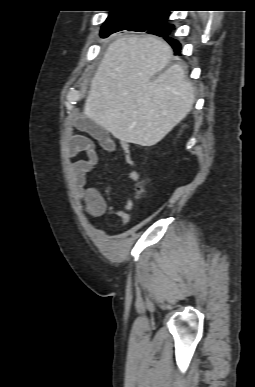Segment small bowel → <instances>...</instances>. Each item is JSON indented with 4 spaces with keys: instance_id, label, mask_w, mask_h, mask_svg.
Masks as SVG:
<instances>
[{
    "instance_id": "obj_1",
    "label": "small bowel",
    "mask_w": 255,
    "mask_h": 387,
    "mask_svg": "<svg viewBox=\"0 0 255 387\" xmlns=\"http://www.w3.org/2000/svg\"><path fill=\"white\" fill-rule=\"evenodd\" d=\"M70 126L76 132H84L87 134L72 133L67 144V153L70 158H75L82 152L86 154V158L76 160L71 165L70 173L75 197L84 204L89 215L99 217L109 210L121 219L124 226L128 225L130 216L127 210L131 207V201L129 199L123 203L122 209L116 210L108 205L107 199L97 188L87 186V175L98 162L94 140L106 152H114L117 149L116 142L104 127L90 119L84 117L74 118ZM120 149L123 151L125 162L129 166L134 167L135 160L128 145L122 142L120 143ZM139 178L140 174L136 169L130 170L127 174L129 181L136 182ZM105 192L109 195L111 189L106 188Z\"/></svg>"
}]
</instances>
